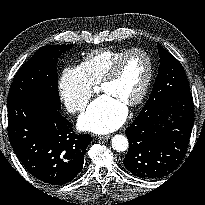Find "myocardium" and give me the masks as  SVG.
I'll return each instance as SVG.
<instances>
[{
    "mask_svg": "<svg viewBox=\"0 0 205 205\" xmlns=\"http://www.w3.org/2000/svg\"><path fill=\"white\" fill-rule=\"evenodd\" d=\"M134 54L144 55L148 60L149 68H148L146 80L144 82V85H143L140 93L132 101L127 103V105H126L127 107H133V106L140 104L145 99V97L150 89V86H151V83L153 80V76H154L155 66H154L153 57L151 56V54L149 52H147L144 49H140V48H134V49H130V50L126 51L112 64V66L109 69V71L107 72V74L99 82V87L101 88L105 84L115 80L120 73V70H121L123 63L126 61L127 58H129L130 56H132Z\"/></svg>",
    "mask_w": 205,
    "mask_h": 205,
    "instance_id": "obj_1",
    "label": "myocardium"
}]
</instances>
